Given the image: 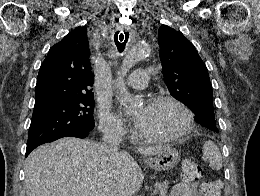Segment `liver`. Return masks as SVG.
Instances as JSON below:
<instances>
[{"label": "liver", "instance_id": "6515ba94", "mask_svg": "<svg viewBox=\"0 0 260 196\" xmlns=\"http://www.w3.org/2000/svg\"><path fill=\"white\" fill-rule=\"evenodd\" d=\"M163 146L136 148L143 158ZM144 174L128 152L109 154L102 144L61 138L33 150L26 160L27 196H134Z\"/></svg>", "mask_w": 260, "mask_h": 196}]
</instances>
